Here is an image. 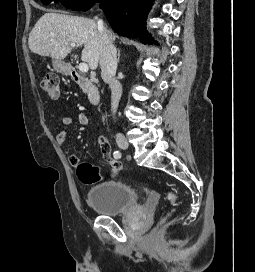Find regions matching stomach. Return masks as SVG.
<instances>
[{"label": "stomach", "instance_id": "0dacf381", "mask_svg": "<svg viewBox=\"0 0 255 272\" xmlns=\"http://www.w3.org/2000/svg\"><path fill=\"white\" fill-rule=\"evenodd\" d=\"M52 65H53V68L57 72L62 73L64 75H69V73H70V67H69L68 64H66L62 60H53Z\"/></svg>", "mask_w": 255, "mask_h": 272}]
</instances>
